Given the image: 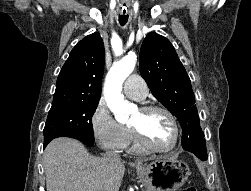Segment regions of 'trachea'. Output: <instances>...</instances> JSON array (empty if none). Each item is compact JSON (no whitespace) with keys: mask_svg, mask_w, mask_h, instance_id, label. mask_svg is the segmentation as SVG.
<instances>
[{"mask_svg":"<svg viewBox=\"0 0 251 191\" xmlns=\"http://www.w3.org/2000/svg\"><path fill=\"white\" fill-rule=\"evenodd\" d=\"M128 21V15H119V23L120 25H125Z\"/></svg>","mask_w":251,"mask_h":191,"instance_id":"trachea-1","label":"trachea"}]
</instances>
